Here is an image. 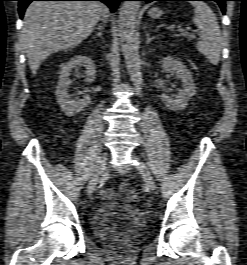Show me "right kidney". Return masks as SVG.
<instances>
[{
	"label": "right kidney",
	"instance_id": "1",
	"mask_svg": "<svg viewBox=\"0 0 247 265\" xmlns=\"http://www.w3.org/2000/svg\"><path fill=\"white\" fill-rule=\"evenodd\" d=\"M81 66L85 67L86 82L90 83L94 81L96 75L95 64L94 61L87 56H75L69 62L61 66L59 82L56 88V99L61 110L68 116L81 112L91 103L89 95H84L81 99L79 97L71 99L68 93V88L71 84V80L69 79L70 72L72 69Z\"/></svg>",
	"mask_w": 247,
	"mask_h": 265
}]
</instances>
